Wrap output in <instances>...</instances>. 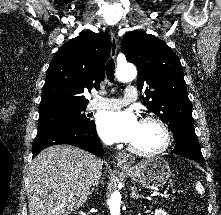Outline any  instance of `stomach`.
I'll return each mask as SVG.
<instances>
[{
    "label": "stomach",
    "instance_id": "1",
    "mask_svg": "<svg viewBox=\"0 0 221 215\" xmlns=\"http://www.w3.org/2000/svg\"><path fill=\"white\" fill-rule=\"evenodd\" d=\"M131 179L143 188L155 189L163 186L170 177L168 163L162 158H151L126 168Z\"/></svg>",
    "mask_w": 221,
    "mask_h": 215
}]
</instances>
